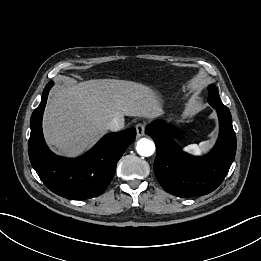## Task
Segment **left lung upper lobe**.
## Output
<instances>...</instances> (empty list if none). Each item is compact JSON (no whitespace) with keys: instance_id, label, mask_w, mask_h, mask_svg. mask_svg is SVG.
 Returning <instances> with one entry per match:
<instances>
[{"instance_id":"5c2ea615","label":"left lung upper lobe","mask_w":261,"mask_h":261,"mask_svg":"<svg viewBox=\"0 0 261 261\" xmlns=\"http://www.w3.org/2000/svg\"><path fill=\"white\" fill-rule=\"evenodd\" d=\"M208 90H209V97H208L209 104L215 109L229 111V109L222 103L217 88L214 85H210L208 87Z\"/></svg>"}]
</instances>
